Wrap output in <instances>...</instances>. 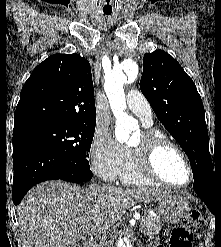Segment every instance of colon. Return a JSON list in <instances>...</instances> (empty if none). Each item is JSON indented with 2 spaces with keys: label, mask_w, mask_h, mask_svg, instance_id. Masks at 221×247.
Listing matches in <instances>:
<instances>
[{
  "label": "colon",
  "mask_w": 221,
  "mask_h": 247,
  "mask_svg": "<svg viewBox=\"0 0 221 247\" xmlns=\"http://www.w3.org/2000/svg\"><path fill=\"white\" fill-rule=\"evenodd\" d=\"M199 224V213L191 212L181 225L173 229L169 240V247H191L193 229Z\"/></svg>",
  "instance_id": "1"
}]
</instances>
